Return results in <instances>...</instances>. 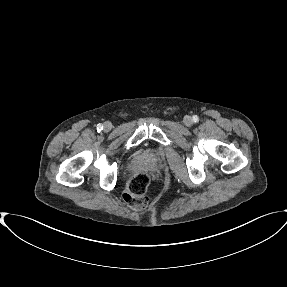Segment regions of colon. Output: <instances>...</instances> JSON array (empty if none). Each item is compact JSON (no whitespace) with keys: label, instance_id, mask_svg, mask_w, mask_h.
Here are the masks:
<instances>
[{"label":"colon","instance_id":"1","mask_svg":"<svg viewBox=\"0 0 287 287\" xmlns=\"http://www.w3.org/2000/svg\"><path fill=\"white\" fill-rule=\"evenodd\" d=\"M148 185L149 176L144 172H138L130 178L123 197L132 209L141 210L147 207L149 203L147 196Z\"/></svg>","mask_w":287,"mask_h":287}]
</instances>
